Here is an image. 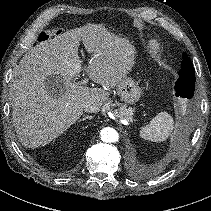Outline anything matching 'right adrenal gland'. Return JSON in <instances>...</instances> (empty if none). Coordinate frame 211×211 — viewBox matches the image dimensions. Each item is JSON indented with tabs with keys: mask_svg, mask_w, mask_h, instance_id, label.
<instances>
[{
	"mask_svg": "<svg viewBox=\"0 0 211 211\" xmlns=\"http://www.w3.org/2000/svg\"><path fill=\"white\" fill-rule=\"evenodd\" d=\"M93 118V116H89V115H87V116H85L84 118H82V119H79L78 120V122H81V121H85L86 119H89V120H91Z\"/></svg>",
	"mask_w": 211,
	"mask_h": 211,
	"instance_id": "2a0ac1e0",
	"label": "right adrenal gland"
}]
</instances>
